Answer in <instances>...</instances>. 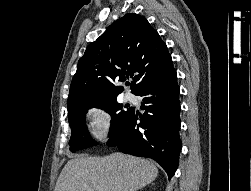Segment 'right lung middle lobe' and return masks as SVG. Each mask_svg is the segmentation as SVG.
Returning a JSON list of instances; mask_svg holds the SVG:
<instances>
[{"label":"right lung middle lobe","mask_w":251,"mask_h":191,"mask_svg":"<svg viewBox=\"0 0 251 191\" xmlns=\"http://www.w3.org/2000/svg\"><path fill=\"white\" fill-rule=\"evenodd\" d=\"M93 107L104 109L112 116L109 136L125 123L133 111V108H128L126 111L123 110L127 105L123 106L122 104H119L117 99L68 108V120L71 128L69 145L70 151L72 152L92 147L97 144L96 141L92 140L85 121V114L88 109Z\"/></svg>","instance_id":"1"}]
</instances>
